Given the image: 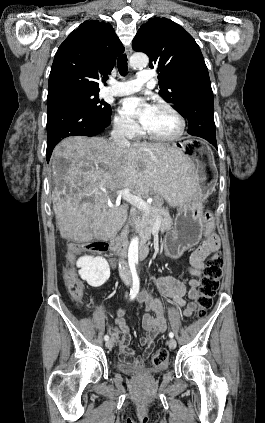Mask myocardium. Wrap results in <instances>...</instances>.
Instances as JSON below:
<instances>
[{
    "instance_id": "myocardium-1",
    "label": "myocardium",
    "mask_w": 265,
    "mask_h": 423,
    "mask_svg": "<svg viewBox=\"0 0 265 423\" xmlns=\"http://www.w3.org/2000/svg\"><path fill=\"white\" fill-rule=\"evenodd\" d=\"M154 107L164 108V109L168 110L169 112H171L177 118V120L179 121V130L174 135L164 136V135H159V134H156V133L149 131L143 125L142 126L143 134L145 136L149 137L150 139H153V140H156V141L173 142V141L179 140L184 135V133L186 131L187 124H186V120H185L184 116L173 105H171L167 102H164V101H159V102L155 103Z\"/></svg>"
}]
</instances>
